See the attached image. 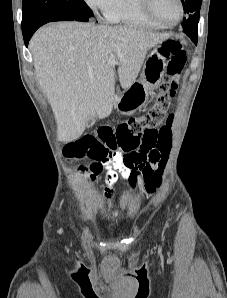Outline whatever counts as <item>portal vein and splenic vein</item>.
I'll list each match as a JSON object with an SVG mask.
<instances>
[{
	"instance_id": "1",
	"label": "portal vein and splenic vein",
	"mask_w": 227,
	"mask_h": 298,
	"mask_svg": "<svg viewBox=\"0 0 227 298\" xmlns=\"http://www.w3.org/2000/svg\"><path fill=\"white\" fill-rule=\"evenodd\" d=\"M108 63L112 66H115L118 63L115 55L113 54L110 55Z\"/></svg>"
}]
</instances>
